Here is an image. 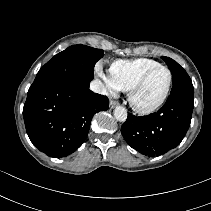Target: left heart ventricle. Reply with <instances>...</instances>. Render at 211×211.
Masks as SVG:
<instances>
[{
  "instance_id": "1",
  "label": "left heart ventricle",
  "mask_w": 211,
  "mask_h": 211,
  "mask_svg": "<svg viewBox=\"0 0 211 211\" xmlns=\"http://www.w3.org/2000/svg\"><path fill=\"white\" fill-rule=\"evenodd\" d=\"M168 83V73L164 69L154 71L146 80L136 96L141 106H150L156 103L163 95Z\"/></svg>"
}]
</instances>
